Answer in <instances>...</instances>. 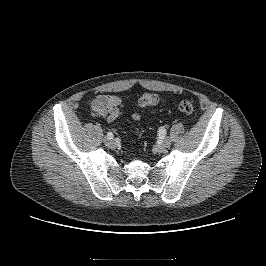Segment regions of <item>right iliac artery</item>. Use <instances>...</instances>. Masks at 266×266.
I'll return each mask as SVG.
<instances>
[{
	"label": "right iliac artery",
	"mask_w": 266,
	"mask_h": 266,
	"mask_svg": "<svg viewBox=\"0 0 266 266\" xmlns=\"http://www.w3.org/2000/svg\"><path fill=\"white\" fill-rule=\"evenodd\" d=\"M107 137H108L109 139H112V138H113V133H112V132H108V133H107Z\"/></svg>",
	"instance_id": "right-iliac-artery-1"
}]
</instances>
